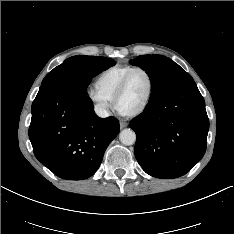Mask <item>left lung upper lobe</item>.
I'll return each instance as SVG.
<instances>
[{
  "instance_id": "left-lung-upper-lobe-1",
  "label": "left lung upper lobe",
  "mask_w": 234,
  "mask_h": 234,
  "mask_svg": "<svg viewBox=\"0 0 234 234\" xmlns=\"http://www.w3.org/2000/svg\"><path fill=\"white\" fill-rule=\"evenodd\" d=\"M130 64L139 66L149 75L152 82V92L147 105L169 93L174 88L193 81V78L171 59L161 55H141Z\"/></svg>"
}]
</instances>
